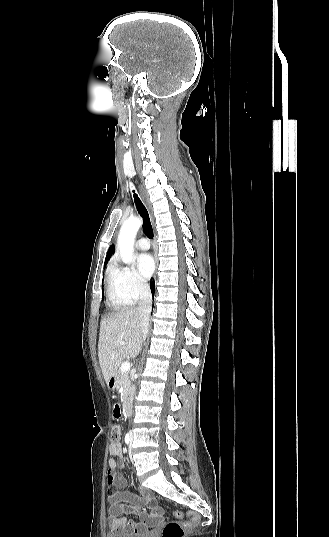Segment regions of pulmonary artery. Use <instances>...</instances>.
<instances>
[{
    "label": "pulmonary artery",
    "instance_id": "obj_1",
    "mask_svg": "<svg viewBox=\"0 0 329 537\" xmlns=\"http://www.w3.org/2000/svg\"><path fill=\"white\" fill-rule=\"evenodd\" d=\"M136 247L139 250H148L150 247L149 241L146 238H141L136 242Z\"/></svg>",
    "mask_w": 329,
    "mask_h": 537
}]
</instances>
